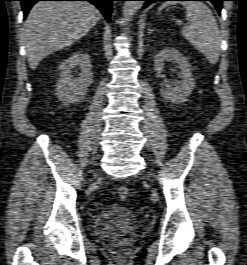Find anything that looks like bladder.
Segmentation results:
<instances>
[{"label":"bladder","instance_id":"bladder-1","mask_svg":"<svg viewBox=\"0 0 247 265\" xmlns=\"http://www.w3.org/2000/svg\"><path fill=\"white\" fill-rule=\"evenodd\" d=\"M139 221V216L124 207L105 208L97 218L94 230L96 234L110 237L124 233L134 227Z\"/></svg>","mask_w":247,"mask_h":265}]
</instances>
